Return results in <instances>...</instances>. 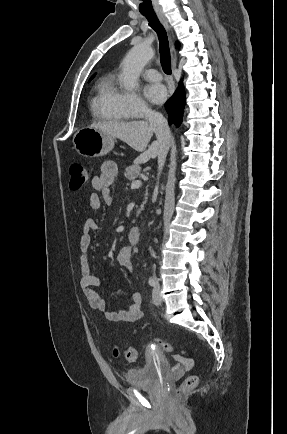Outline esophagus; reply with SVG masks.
<instances>
[{
    "label": "esophagus",
    "mask_w": 287,
    "mask_h": 434,
    "mask_svg": "<svg viewBox=\"0 0 287 434\" xmlns=\"http://www.w3.org/2000/svg\"><path fill=\"white\" fill-rule=\"evenodd\" d=\"M157 15H158L159 20H160V21L162 22V24L164 25V27H165L167 30H169L168 23H167V21H166L164 15H163V13H162V12H158ZM171 58H172V65H173V68H175V66H176V52H175V49H174L173 47L171 48Z\"/></svg>",
    "instance_id": "34e87169"
}]
</instances>
